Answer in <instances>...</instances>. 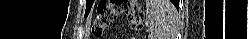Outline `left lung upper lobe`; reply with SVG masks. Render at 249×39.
I'll use <instances>...</instances> for the list:
<instances>
[{"mask_svg": "<svg viewBox=\"0 0 249 39\" xmlns=\"http://www.w3.org/2000/svg\"><path fill=\"white\" fill-rule=\"evenodd\" d=\"M93 2H94V1H92V0H87V2H86V12H85V14H88V13H89V11H90V9H91V6H92Z\"/></svg>", "mask_w": 249, "mask_h": 39, "instance_id": "1", "label": "left lung upper lobe"}]
</instances>
